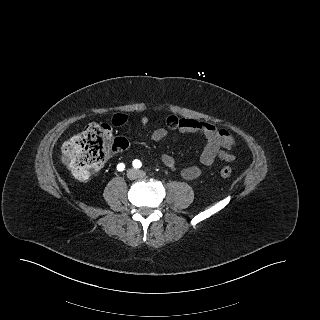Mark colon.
<instances>
[{"label": "colon", "instance_id": "1", "mask_svg": "<svg viewBox=\"0 0 320 320\" xmlns=\"http://www.w3.org/2000/svg\"><path fill=\"white\" fill-rule=\"evenodd\" d=\"M128 145L125 138H115L113 130L107 123H90L84 130L71 137L62 147V160L73 175L81 180L91 177L105 161L109 151L124 149ZM221 177L229 178L232 170L223 166L219 171Z\"/></svg>", "mask_w": 320, "mask_h": 320}]
</instances>
